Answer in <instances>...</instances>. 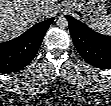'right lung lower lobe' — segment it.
I'll return each mask as SVG.
<instances>
[{"label":"right lung lower lobe","instance_id":"98d812e1","mask_svg":"<svg viewBox=\"0 0 111 106\" xmlns=\"http://www.w3.org/2000/svg\"><path fill=\"white\" fill-rule=\"evenodd\" d=\"M55 18L42 21L31 27L19 37L0 43V73H10L27 66Z\"/></svg>","mask_w":111,"mask_h":106}]
</instances>
